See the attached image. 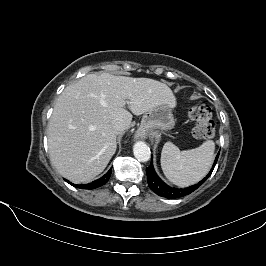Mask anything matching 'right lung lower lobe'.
Segmentation results:
<instances>
[{
    "instance_id": "obj_1",
    "label": "right lung lower lobe",
    "mask_w": 266,
    "mask_h": 266,
    "mask_svg": "<svg viewBox=\"0 0 266 266\" xmlns=\"http://www.w3.org/2000/svg\"><path fill=\"white\" fill-rule=\"evenodd\" d=\"M111 172L112 170L110 169L104 176H102L101 178L88 183V184H80V185H76L73 183H70L68 180H66L68 183H70L72 186L76 187V188H80V189H95L98 188L104 184H106L111 176Z\"/></svg>"
}]
</instances>
